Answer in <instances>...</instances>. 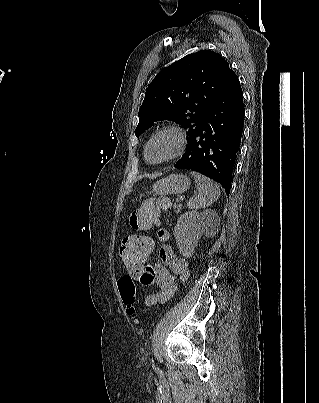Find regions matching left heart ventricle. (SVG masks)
Here are the masks:
<instances>
[{
  "label": "left heart ventricle",
  "mask_w": 319,
  "mask_h": 403,
  "mask_svg": "<svg viewBox=\"0 0 319 403\" xmlns=\"http://www.w3.org/2000/svg\"><path fill=\"white\" fill-rule=\"evenodd\" d=\"M175 138L166 134L157 138L149 147L148 159L150 161H158L168 156L175 148Z\"/></svg>",
  "instance_id": "1"
}]
</instances>
